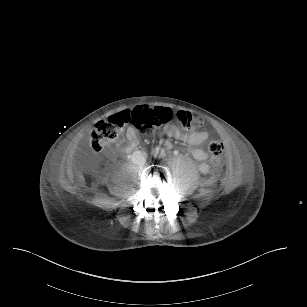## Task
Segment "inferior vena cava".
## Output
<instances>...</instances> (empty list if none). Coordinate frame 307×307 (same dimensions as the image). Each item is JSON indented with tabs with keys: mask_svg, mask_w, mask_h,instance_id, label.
<instances>
[{
	"mask_svg": "<svg viewBox=\"0 0 307 307\" xmlns=\"http://www.w3.org/2000/svg\"><path fill=\"white\" fill-rule=\"evenodd\" d=\"M131 159L135 164L143 165L146 162L147 154L144 151L140 150L134 151L131 156Z\"/></svg>",
	"mask_w": 307,
	"mask_h": 307,
	"instance_id": "obj_1",
	"label": "inferior vena cava"
}]
</instances>
